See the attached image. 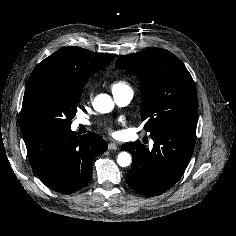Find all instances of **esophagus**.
Instances as JSON below:
<instances>
[{"label":"esophagus","mask_w":236,"mask_h":236,"mask_svg":"<svg viewBox=\"0 0 236 236\" xmlns=\"http://www.w3.org/2000/svg\"><path fill=\"white\" fill-rule=\"evenodd\" d=\"M108 149H109V150H117V149H118V146H117L116 143L111 142V143L108 144Z\"/></svg>","instance_id":"esophagus-1"}]
</instances>
